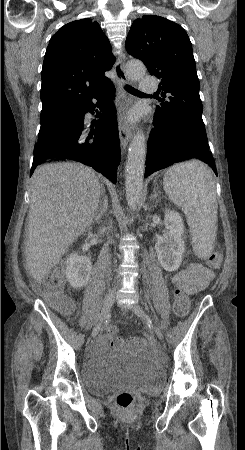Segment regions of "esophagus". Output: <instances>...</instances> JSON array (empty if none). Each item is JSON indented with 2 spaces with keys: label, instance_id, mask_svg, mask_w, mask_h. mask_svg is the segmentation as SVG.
I'll return each mask as SVG.
<instances>
[{
  "label": "esophagus",
  "instance_id": "obj_1",
  "mask_svg": "<svg viewBox=\"0 0 245 450\" xmlns=\"http://www.w3.org/2000/svg\"><path fill=\"white\" fill-rule=\"evenodd\" d=\"M124 58V55H120L115 63V74L118 80V90L122 98L126 97V92L123 89V85L128 83L127 75L124 70ZM118 128L121 147L123 150H126L128 142L132 137V129L123 121L122 117L119 118Z\"/></svg>",
  "mask_w": 245,
  "mask_h": 450
}]
</instances>
